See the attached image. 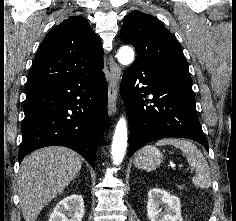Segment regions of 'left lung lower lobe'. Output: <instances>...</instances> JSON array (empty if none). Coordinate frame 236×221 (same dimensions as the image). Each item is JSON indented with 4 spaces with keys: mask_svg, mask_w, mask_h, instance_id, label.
<instances>
[{
    "mask_svg": "<svg viewBox=\"0 0 236 221\" xmlns=\"http://www.w3.org/2000/svg\"><path fill=\"white\" fill-rule=\"evenodd\" d=\"M120 91L130 121L129 157L162 137L192 139L209 149L197 118L192 81L134 62L123 75ZM149 94L154 105L144 99Z\"/></svg>",
    "mask_w": 236,
    "mask_h": 221,
    "instance_id": "obj_1",
    "label": "left lung lower lobe"
}]
</instances>
